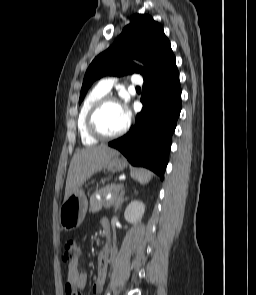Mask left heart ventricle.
<instances>
[{"mask_svg": "<svg viewBox=\"0 0 256 295\" xmlns=\"http://www.w3.org/2000/svg\"><path fill=\"white\" fill-rule=\"evenodd\" d=\"M126 119L119 104L108 103L98 113L97 125L104 133L112 134L123 128Z\"/></svg>", "mask_w": 256, "mask_h": 295, "instance_id": "obj_1", "label": "left heart ventricle"}]
</instances>
